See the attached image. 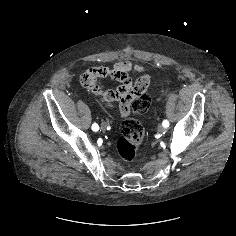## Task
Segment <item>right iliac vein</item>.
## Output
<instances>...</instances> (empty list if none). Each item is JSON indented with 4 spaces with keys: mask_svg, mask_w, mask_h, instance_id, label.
Segmentation results:
<instances>
[{
    "mask_svg": "<svg viewBox=\"0 0 236 236\" xmlns=\"http://www.w3.org/2000/svg\"><path fill=\"white\" fill-rule=\"evenodd\" d=\"M107 128V123L103 122L101 124V129L105 130Z\"/></svg>",
    "mask_w": 236,
    "mask_h": 236,
    "instance_id": "right-iliac-vein-1",
    "label": "right iliac vein"
}]
</instances>
